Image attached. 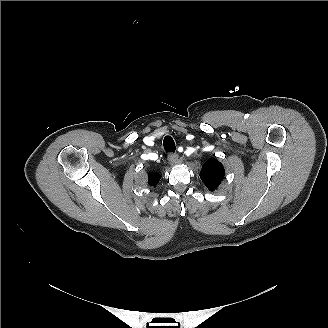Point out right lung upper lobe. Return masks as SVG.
<instances>
[{
	"instance_id": "1",
	"label": "right lung upper lobe",
	"mask_w": 328,
	"mask_h": 328,
	"mask_svg": "<svg viewBox=\"0 0 328 328\" xmlns=\"http://www.w3.org/2000/svg\"><path fill=\"white\" fill-rule=\"evenodd\" d=\"M160 180V175L149 174L148 184L150 186H156Z\"/></svg>"
}]
</instances>
